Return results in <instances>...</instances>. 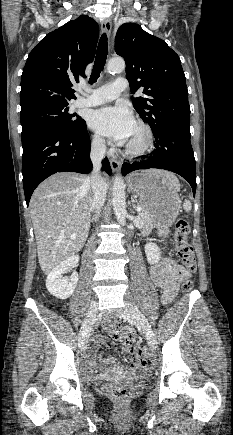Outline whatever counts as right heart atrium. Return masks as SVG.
I'll list each match as a JSON object with an SVG mask.
<instances>
[{"instance_id":"obj_1","label":"right heart atrium","mask_w":233,"mask_h":435,"mask_svg":"<svg viewBox=\"0 0 233 435\" xmlns=\"http://www.w3.org/2000/svg\"><path fill=\"white\" fill-rule=\"evenodd\" d=\"M91 146L96 151H102L105 147L104 139L99 134H93L91 137Z\"/></svg>"}]
</instances>
